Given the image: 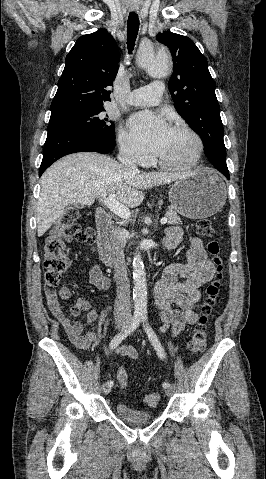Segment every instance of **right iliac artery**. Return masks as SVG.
Here are the masks:
<instances>
[{
  "mask_svg": "<svg viewBox=\"0 0 266 479\" xmlns=\"http://www.w3.org/2000/svg\"><path fill=\"white\" fill-rule=\"evenodd\" d=\"M141 320H142V316L140 314H134L128 328L125 331L120 332L113 337V339L110 342V349L113 350L114 348H116L127 336L132 334L139 326ZM107 385L112 387L114 385V382L108 381Z\"/></svg>",
  "mask_w": 266,
  "mask_h": 479,
  "instance_id": "right-iliac-artery-1",
  "label": "right iliac artery"
}]
</instances>
